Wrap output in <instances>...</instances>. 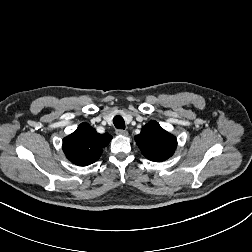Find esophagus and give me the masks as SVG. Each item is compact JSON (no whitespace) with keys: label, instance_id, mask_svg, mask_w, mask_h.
<instances>
[{"label":"esophagus","instance_id":"obj_1","mask_svg":"<svg viewBox=\"0 0 252 252\" xmlns=\"http://www.w3.org/2000/svg\"><path fill=\"white\" fill-rule=\"evenodd\" d=\"M116 134L119 135V136H127L128 132L126 130H123V129H117Z\"/></svg>","mask_w":252,"mask_h":252}]
</instances>
